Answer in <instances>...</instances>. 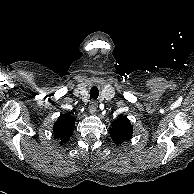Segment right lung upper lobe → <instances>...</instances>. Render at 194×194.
<instances>
[{
    "mask_svg": "<svg viewBox=\"0 0 194 194\" xmlns=\"http://www.w3.org/2000/svg\"><path fill=\"white\" fill-rule=\"evenodd\" d=\"M75 119L69 114L61 115L54 124L53 131L56 138L61 141V144L66 142L73 134Z\"/></svg>",
    "mask_w": 194,
    "mask_h": 194,
    "instance_id": "right-lung-upper-lobe-1",
    "label": "right lung upper lobe"
}]
</instances>
